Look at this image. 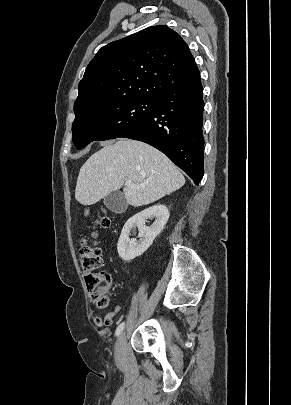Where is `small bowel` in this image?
Returning a JSON list of instances; mask_svg holds the SVG:
<instances>
[{
    "instance_id": "small-bowel-1",
    "label": "small bowel",
    "mask_w": 291,
    "mask_h": 405,
    "mask_svg": "<svg viewBox=\"0 0 291 405\" xmlns=\"http://www.w3.org/2000/svg\"><path fill=\"white\" fill-rule=\"evenodd\" d=\"M116 311H117V308L113 312L107 314L105 316V318H102L100 316H95V318H94L95 325L98 327L109 326L112 323V320H113V317H114Z\"/></svg>"
}]
</instances>
